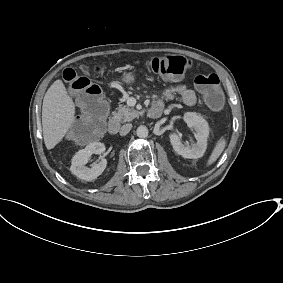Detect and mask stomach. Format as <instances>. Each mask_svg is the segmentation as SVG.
<instances>
[{"mask_svg":"<svg viewBox=\"0 0 283 283\" xmlns=\"http://www.w3.org/2000/svg\"><path fill=\"white\" fill-rule=\"evenodd\" d=\"M122 80L127 84L133 83L135 81L133 72L124 73Z\"/></svg>","mask_w":283,"mask_h":283,"instance_id":"obj_1","label":"stomach"}]
</instances>
